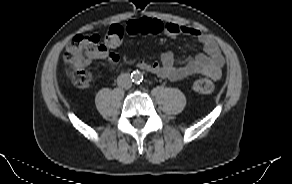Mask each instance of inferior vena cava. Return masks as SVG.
Returning a JSON list of instances; mask_svg holds the SVG:
<instances>
[{
  "label": "inferior vena cava",
  "instance_id": "602c4592",
  "mask_svg": "<svg viewBox=\"0 0 292 184\" xmlns=\"http://www.w3.org/2000/svg\"><path fill=\"white\" fill-rule=\"evenodd\" d=\"M117 84H118V86L125 88V89L131 88L132 81H131L130 75L128 73H123V74L119 75L117 78Z\"/></svg>",
  "mask_w": 292,
  "mask_h": 184
}]
</instances>
